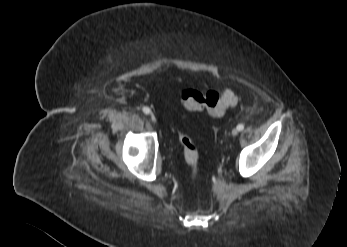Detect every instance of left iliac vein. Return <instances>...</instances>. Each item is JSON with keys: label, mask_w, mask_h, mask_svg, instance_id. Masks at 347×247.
Wrapping results in <instances>:
<instances>
[{"label": "left iliac vein", "mask_w": 347, "mask_h": 247, "mask_svg": "<svg viewBox=\"0 0 347 247\" xmlns=\"http://www.w3.org/2000/svg\"><path fill=\"white\" fill-rule=\"evenodd\" d=\"M238 133H239L238 129L235 128V129L232 130V135L233 136H237Z\"/></svg>", "instance_id": "obj_1"}]
</instances>
